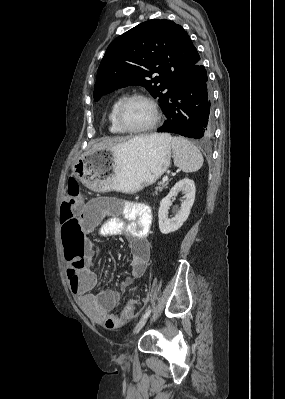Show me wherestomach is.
I'll return each instance as SVG.
<instances>
[{"label": "stomach", "mask_w": 285, "mask_h": 399, "mask_svg": "<svg viewBox=\"0 0 285 399\" xmlns=\"http://www.w3.org/2000/svg\"><path fill=\"white\" fill-rule=\"evenodd\" d=\"M171 138L133 139L115 149H97L71 165L74 177L95 192L136 193L155 183L171 162Z\"/></svg>", "instance_id": "stomach-1"}]
</instances>
